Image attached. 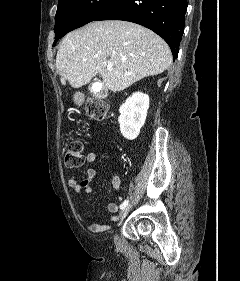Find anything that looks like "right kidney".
Returning a JSON list of instances; mask_svg holds the SVG:
<instances>
[{
    "instance_id": "obj_1",
    "label": "right kidney",
    "mask_w": 240,
    "mask_h": 281,
    "mask_svg": "<svg viewBox=\"0 0 240 281\" xmlns=\"http://www.w3.org/2000/svg\"><path fill=\"white\" fill-rule=\"evenodd\" d=\"M148 108L149 96L141 92L133 93L120 106L118 122L124 138L128 140L137 138L145 123Z\"/></svg>"
}]
</instances>
